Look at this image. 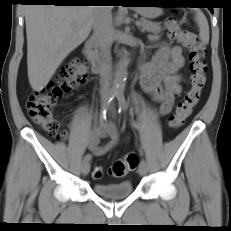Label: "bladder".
<instances>
[{
  "label": "bladder",
  "instance_id": "31cf9c89",
  "mask_svg": "<svg viewBox=\"0 0 231 231\" xmlns=\"http://www.w3.org/2000/svg\"><path fill=\"white\" fill-rule=\"evenodd\" d=\"M93 190L101 197L108 199H122L131 195L133 186L131 181L125 180L117 183H95Z\"/></svg>",
  "mask_w": 231,
  "mask_h": 231
}]
</instances>
